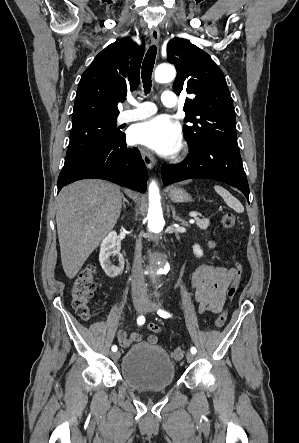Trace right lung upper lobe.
Here are the masks:
<instances>
[{"instance_id":"cb5924a9","label":"right lung upper lobe","mask_w":299,"mask_h":443,"mask_svg":"<svg viewBox=\"0 0 299 443\" xmlns=\"http://www.w3.org/2000/svg\"><path fill=\"white\" fill-rule=\"evenodd\" d=\"M143 54L144 46L128 37L102 50L81 76L72 124L95 117H117L118 102L139 85Z\"/></svg>"}]
</instances>
